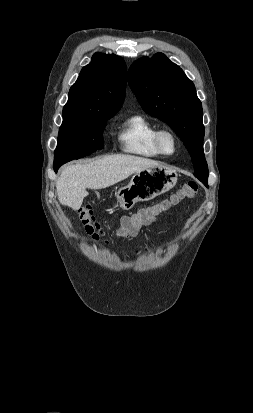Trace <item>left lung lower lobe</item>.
I'll list each match as a JSON object with an SVG mask.
<instances>
[{
  "mask_svg": "<svg viewBox=\"0 0 253 413\" xmlns=\"http://www.w3.org/2000/svg\"><path fill=\"white\" fill-rule=\"evenodd\" d=\"M204 185H205L206 187H208V184L205 183Z\"/></svg>",
  "mask_w": 253,
  "mask_h": 413,
  "instance_id": "0a47b994",
  "label": "left lung lower lobe"
}]
</instances>
